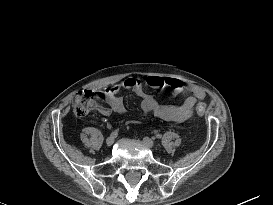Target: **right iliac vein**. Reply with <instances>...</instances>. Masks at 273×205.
<instances>
[{"label":"right iliac vein","instance_id":"63e3f726","mask_svg":"<svg viewBox=\"0 0 273 205\" xmlns=\"http://www.w3.org/2000/svg\"><path fill=\"white\" fill-rule=\"evenodd\" d=\"M114 141H115V137H114V136H109V137L106 139V144H107L108 146H111V145H113Z\"/></svg>","mask_w":273,"mask_h":205}]
</instances>
